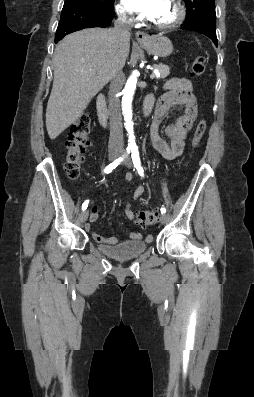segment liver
I'll return each instance as SVG.
<instances>
[{
	"mask_svg": "<svg viewBox=\"0 0 254 397\" xmlns=\"http://www.w3.org/2000/svg\"><path fill=\"white\" fill-rule=\"evenodd\" d=\"M129 51V41L117 45L112 29L102 28L74 32L56 45L53 87L46 109L50 139L57 138L81 116L111 79L113 68H123Z\"/></svg>",
	"mask_w": 254,
	"mask_h": 397,
	"instance_id": "obj_1",
	"label": "liver"
}]
</instances>
